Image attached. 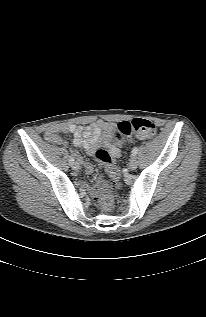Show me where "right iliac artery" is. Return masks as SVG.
<instances>
[{
  "mask_svg": "<svg viewBox=\"0 0 206 317\" xmlns=\"http://www.w3.org/2000/svg\"><path fill=\"white\" fill-rule=\"evenodd\" d=\"M74 157L73 156H70V158H69V162H70V164H73L74 163Z\"/></svg>",
  "mask_w": 206,
  "mask_h": 317,
  "instance_id": "right-iliac-artery-1",
  "label": "right iliac artery"
}]
</instances>
